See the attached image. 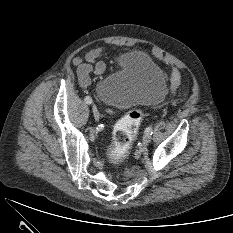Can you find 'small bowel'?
Listing matches in <instances>:
<instances>
[{
    "instance_id": "small-bowel-1",
    "label": "small bowel",
    "mask_w": 233,
    "mask_h": 233,
    "mask_svg": "<svg viewBox=\"0 0 233 233\" xmlns=\"http://www.w3.org/2000/svg\"><path fill=\"white\" fill-rule=\"evenodd\" d=\"M104 48L96 47L88 50L84 57L76 56L73 65L77 67L78 80L81 85L87 86L91 81V74L102 75L106 70L104 61L99 60ZM180 84V74L174 70L171 74V88L175 90Z\"/></svg>"
}]
</instances>
